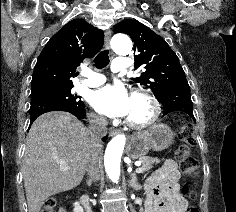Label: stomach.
Wrapping results in <instances>:
<instances>
[{
  "mask_svg": "<svg viewBox=\"0 0 236 212\" xmlns=\"http://www.w3.org/2000/svg\"><path fill=\"white\" fill-rule=\"evenodd\" d=\"M174 132L166 124H155L147 130L135 133L128 145L131 158L144 156L150 149L161 151L168 148L174 139Z\"/></svg>",
  "mask_w": 236,
  "mask_h": 212,
  "instance_id": "stomach-1",
  "label": "stomach"
}]
</instances>
